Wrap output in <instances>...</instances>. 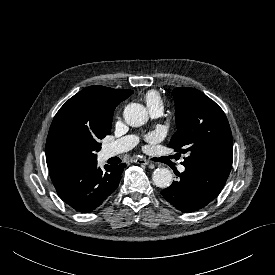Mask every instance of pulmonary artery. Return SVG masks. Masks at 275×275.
Masks as SVG:
<instances>
[{
  "mask_svg": "<svg viewBox=\"0 0 275 275\" xmlns=\"http://www.w3.org/2000/svg\"><path fill=\"white\" fill-rule=\"evenodd\" d=\"M148 110L152 117H159L162 114L163 105L157 104V105L148 106ZM137 143H138V138L133 135L120 138V139L108 144L105 147L104 155L107 158L116 156L118 154H121L123 152H126V151L132 149ZM178 170L180 172H183L185 170V167L183 165H180L178 167Z\"/></svg>",
  "mask_w": 275,
  "mask_h": 275,
  "instance_id": "e3ab8cb5",
  "label": "pulmonary artery"
}]
</instances>
